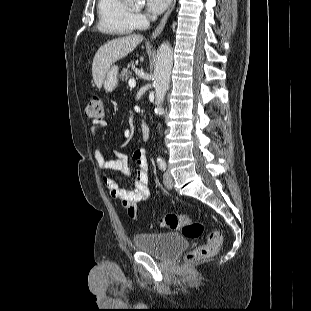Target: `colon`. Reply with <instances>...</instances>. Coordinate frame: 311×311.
Returning a JSON list of instances; mask_svg holds the SVG:
<instances>
[{
  "instance_id": "colon-1",
  "label": "colon",
  "mask_w": 311,
  "mask_h": 311,
  "mask_svg": "<svg viewBox=\"0 0 311 311\" xmlns=\"http://www.w3.org/2000/svg\"><path fill=\"white\" fill-rule=\"evenodd\" d=\"M85 114L93 120H102L105 116V105L103 98L94 94L89 98L85 108ZM162 225L168 229L181 231L184 236L190 239L199 238L205 230L204 224L194 220L187 215L166 214L162 218ZM222 236L218 231H212L207 236L204 245L190 251L186 255L187 261H195L212 256L220 247Z\"/></svg>"
}]
</instances>
